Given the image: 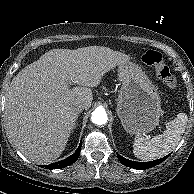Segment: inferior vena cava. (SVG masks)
I'll list each match as a JSON object with an SVG mask.
<instances>
[{"label":"inferior vena cava","instance_id":"1","mask_svg":"<svg viewBox=\"0 0 194 194\" xmlns=\"http://www.w3.org/2000/svg\"><path fill=\"white\" fill-rule=\"evenodd\" d=\"M84 109H85V106H84V104H81V103L76 104V105L74 106V110H75L76 112H81V111H83Z\"/></svg>","mask_w":194,"mask_h":194}]
</instances>
